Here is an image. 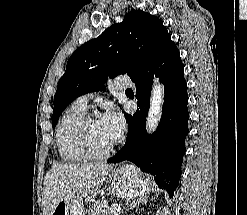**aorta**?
<instances>
[{"label":"aorta","instance_id":"762f6f07","mask_svg":"<svg viewBox=\"0 0 247 215\" xmlns=\"http://www.w3.org/2000/svg\"><path fill=\"white\" fill-rule=\"evenodd\" d=\"M163 103L164 87L160 83L159 79H154L151 91L150 107L146 118V130L149 134H152L156 130L160 122Z\"/></svg>","mask_w":247,"mask_h":215}]
</instances>
